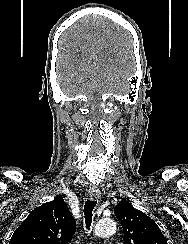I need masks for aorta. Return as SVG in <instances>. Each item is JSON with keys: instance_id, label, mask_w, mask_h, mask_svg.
Masks as SVG:
<instances>
[{"instance_id": "762f6f07", "label": "aorta", "mask_w": 188, "mask_h": 244, "mask_svg": "<svg viewBox=\"0 0 188 244\" xmlns=\"http://www.w3.org/2000/svg\"><path fill=\"white\" fill-rule=\"evenodd\" d=\"M94 232L97 236L107 237L116 232V224L112 219L100 220L94 227Z\"/></svg>"}]
</instances>
